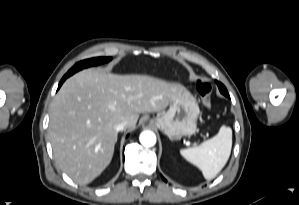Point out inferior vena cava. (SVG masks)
Wrapping results in <instances>:
<instances>
[{
  "label": "inferior vena cava",
  "mask_w": 299,
  "mask_h": 205,
  "mask_svg": "<svg viewBox=\"0 0 299 205\" xmlns=\"http://www.w3.org/2000/svg\"><path fill=\"white\" fill-rule=\"evenodd\" d=\"M126 125H127V122L126 121H122V122H120L119 124H117L115 126V130L117 132L122 131L126 127Z\"/></svg>",
  "instance_id": "obj_1"
}]
</instances>
